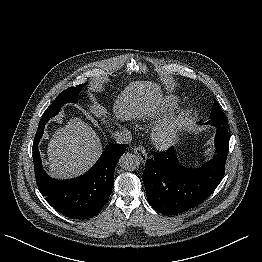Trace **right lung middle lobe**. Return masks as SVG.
<instances>
[{
  "instance_id": "dd1d6c3e",
  "label": "right lung middle lobe",
  "mask_w": 262,
  "mask_h": 262,
  "mask_svg": "<svg viewBox=\"0 0 262 262\" xmlns=\"http://www.w3.org/2000/svg\"><path fill=\"white\" fill-rule=\"evenodd\" d=\"M83 86L84 84L78 85L76 87H70L60 93L54 102L48 107L46 112L42 115V118H50L57 115L65 103H76L78 100V94Z\"/></svg>"
}]
</instances>
